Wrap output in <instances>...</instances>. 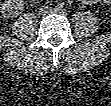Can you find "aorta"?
I'll return each instance as SVG.
<instances>
[{
	"label": "aorta",
	"instance_id": "762f6f07",
	"mask_svg": "<svg viewBox=\"0 0 111 106\" xmlns=\"http://www.w3.org/2000/svg\"><path fill=\"white\" fill-rule=\"evenodd\" d=\"M56 10H57V11H59V10H60V8H59V7H56Z\"/></svg>",
	"mask_w": 111,
	"mask_h": 106
}]
</instances>
